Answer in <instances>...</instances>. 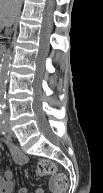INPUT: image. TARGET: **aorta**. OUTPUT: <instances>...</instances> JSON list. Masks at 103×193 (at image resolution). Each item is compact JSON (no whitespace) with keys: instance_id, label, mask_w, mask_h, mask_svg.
Wrapping results in <instances>:
<instances>
[{"instance_id":"1","label":"aorta","mask_w":103,"mask_h":193,"mask_svg":"<svg viewBox=\"0 0 103 193\" xmlns=\"http://www.w3.org/2000/svg\"><path fill=\"white\" fill-rule=\"evenodd\" d=\"M11 58V49L9 48L5 51L0 60V84L3 92L5 90L8 79V71L11 63Z\"/></svg>"}]
</instances>
